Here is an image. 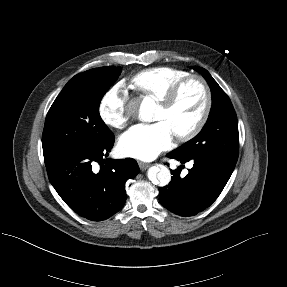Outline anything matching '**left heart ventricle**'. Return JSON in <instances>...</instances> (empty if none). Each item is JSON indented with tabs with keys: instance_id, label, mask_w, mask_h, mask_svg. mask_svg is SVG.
<instances>
[{
	"instance_id": "1",
	"label": "left heart ventricle",
	"mask_w": 287,
	"mask_h": 287,
	"mask_svg": "<svg viewBox=\"0 0 287 287\" xmlns=\"http://www.w3.org/2000/svg\"><path fill=\"white\" fill-rule=\"evenodd\" d=\"M205 103V95L198 82L189 83L182 91L175 106L165 111L157 107L154 121L164 122L173 135L189 130L200 118Z\"/></svg>"
}]
</instances>
